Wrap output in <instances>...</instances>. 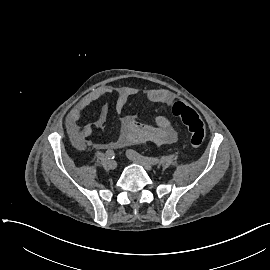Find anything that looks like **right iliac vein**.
I'll return each mask as SVG.
<instances>
[{"mask_svg":"<svg viewBox=\"0 0 270 270\" xmlns=\"http://www.w3.org/2000/svg\"><path fill=\"white\" fill-rule=\"evenodd\" d=\"M108 164L111 169H115L117 167V162L114 160L110 161Z\"/></svg>","mask_w":270,"mask_h":270,"instance_id":"right-iliac-vein-1","label":"right iliac vein"}]
</instances>
